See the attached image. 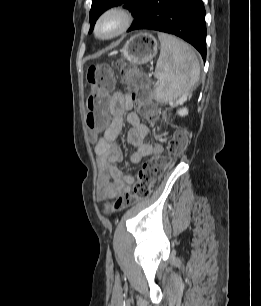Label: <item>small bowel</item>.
Listing matches in <instances>:
<instances>
[{"label": "small bowel", "instance_id": "obj_1", "mask_svg": "<svg viewBox=\"0 0 261 306\" xmlns=\"http://www.w3.org/2000/svg\"><path fill=\"white\" fill-rule=\"evenodd\" d=\"M132 108L133 101L130 95L115 92L110 97L109 112L112 119L95 147L99 166L98 190L101 199L110 200L120 193L128 192L135 181L134 175L126 174L118 167L124 157L115 141L122 131L123 116L126 113L130 124L127 139L135 149L130 155V162L138 164L153 153L162 151L161 145H153L145 140L150 134V128L141 122L137 113L131 111Z\"/></svg>", "mask_w": 261, "mask_h": 306}]
</instances>
